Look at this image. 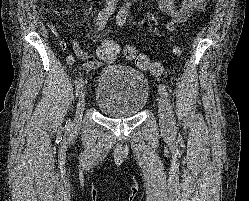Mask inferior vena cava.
I'll use <instances>...</instances> for the list:
<instances>
[{
  "instance_id": "1",
  "label": "inferior vena cava",
  "mask_w": 249,
  "mask_h": 201,
  "mask_svg": "<svg viewBox=\"0 0 249 201\" xmlns=\"http://www.w3.org/2000/svg\"><path fill=\"white\" fill-rule=\"evenodd\" d=\"M107 3H114L116 0H106Z\"/></svg>"
}]
</instances>
